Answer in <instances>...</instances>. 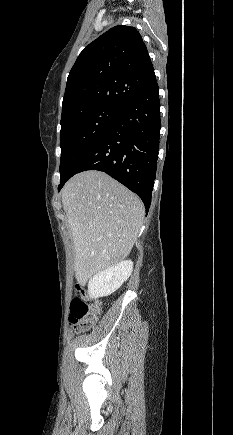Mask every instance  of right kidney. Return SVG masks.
I'll return each mask as SVG.
<instances>
[{"instance_id":"right-kidney-1","label":"right kidney","mask_w":233,"mask_h":435,"mask_svg":"<svg viewBox=\"0 0 233 435\" xmlns=\"http://www.w3.org/2000/svg\"><path fill=\"white\" fill-rule=\"evenodd\" d=\"M132 271L133 262L126 260L97 273L89 280V296L96 299L111 295L130 277Z\"/></svg>"}]
</instances>
